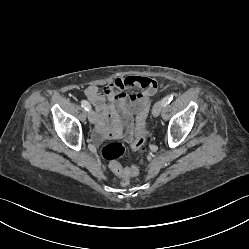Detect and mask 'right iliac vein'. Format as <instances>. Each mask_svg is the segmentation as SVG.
Instances as JSON below:
<instances>
[{
  "label": "right iliac vein",
  "instance_id": "1",
  "mask_svg": "<svg viewBox=\"0 0 249 249\" xmlns=\"http://www.w3.org/2000/svg\"><path fill=\"white\" fill-rule=\"evenodd\" d=\"M87 116H88V120L91 122V123H95L96 122V114L93 110H89L88 113H87Z\"/></svg>",
  "mask_w": 249,
  "mask_h": 249
}]
</instances>
